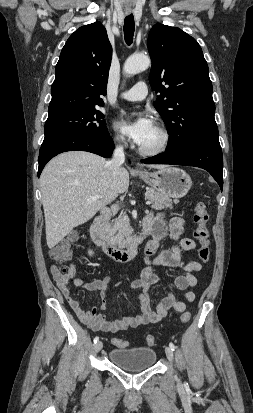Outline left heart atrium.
I'll return each instance as SVG.
<instances>
[{
    "mask_svg": "<svg viewBox=\"0 0 253 413\" xmlns=\"http://www.w3.org/2000/svg\"><path fill=\"white\" fill-rule=\"evenodd\" d=\"M116 126L140 145L154 127L153 120L145 113L134 116L123 115Z\"/></svg>",
    "mask_w": 253,
    "mask_h": 413,
    "instance_id": "left-heart-atrium-1",
    "label": "left heart atrium"
}]
</instances>
